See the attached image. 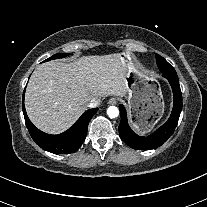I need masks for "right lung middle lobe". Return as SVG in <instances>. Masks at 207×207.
Here are the masks:
<instances>
[{
  "mask_svg": "<svg viewBox=\"0 0 207 207\" xmlns=\"http://www.w3.org/2000/svg\"><path fill=\"white\" fill-rule=\"evenodd\" d=\"M67 55H68L67 53H64V54H55V55L51 56L50 58L46 59L45 61H49V60L56 59V58H62V57H65Z\"/></svg>",
  "mask_w": 207,
  "mask_h": 207,
  "instance_id": "dd1d6c3e",
  "label": "right lung middle lobe"
}]
</instances>
